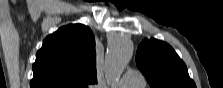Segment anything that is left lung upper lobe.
<instances>
[{"label": "left lung upper lobe", "mask_w": 223, "mask_h": 88, "mask_svg": "<svg viewBox=\"0 0 223 88\" xmlns=\"http://www.w3.org/2000/svg\"><path fill=\"white\" fill-rule=\"evenodd\" d=\"M136 63L151 88H196L185 63L165 42L144 40L137 49Z\"/></svg>", "instance_id": "5c2ea615"}]
</instances>
